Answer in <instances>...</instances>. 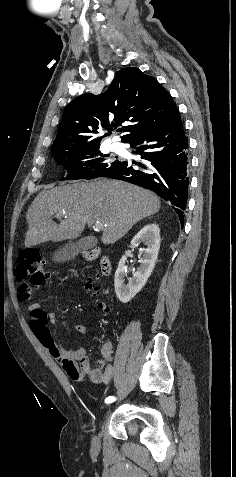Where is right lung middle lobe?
I'll return each instance as SVG.
<instances>
[{
  "instance_id": "obj_1",
  "label": "right lung middle lobe",
  "mask_w": 236,
  "mask_h": 477,
  "mask_svg": "<svg viewBox=\"0 0 236 477\" xmlns=\"http://www.w3.org/2000/svg\"><path fill=\"white\" fill-rule=\"evenodd\" d=\"M55 160L67 169L68 175L61 180L93 179L105 177L122 161L113 160L109 155L100 152L99 146L58 153L53 155Z\"/></svg>"
}]
</instances>
